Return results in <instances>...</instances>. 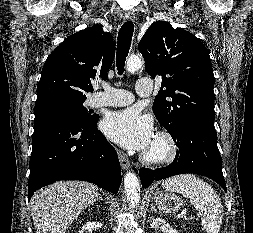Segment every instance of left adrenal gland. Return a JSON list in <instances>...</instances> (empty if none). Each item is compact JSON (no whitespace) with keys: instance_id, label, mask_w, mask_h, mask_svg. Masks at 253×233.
<instances>
[{"instance_id":"obj_1","label":"left adrenal gland","mask_w":253,"mask_h":233,"mask_svg":"<svg viewBox=\"0 0 253 233\" xmlns=\"http://www.w3.org/2000/svg\"><path fill=\"white\" fill-rule=\"evenodd\" d=\"M151 212L152 213H156V214H159L160 215V212L157 211V209L155 208V205L154 203L151 204Z\"/></svg>"}]
</instances>
